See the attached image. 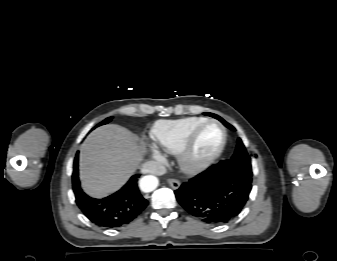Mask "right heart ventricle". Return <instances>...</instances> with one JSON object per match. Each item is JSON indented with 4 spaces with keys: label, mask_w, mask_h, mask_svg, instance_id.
I'll return each instance as SVG.
<instances>
[{
    "label": "right heart ventricle",
    "mask_w": 337,
    "mask_h": 261,
    "mask_svg": "<svg viewBox=\"0 0 337 261\" xmlns=\"http://www.w3.org/2000/svg\"><path fill=\"white\" fill-rule=\"evenodd\" d=\"M205 121L206 118L203 117L161 120L152 127L151 137L163 151L169 154H177L190 132Z\"/></svg>",
    "instance_id": "e07e8e85"
}]
</instances>
